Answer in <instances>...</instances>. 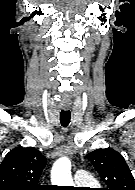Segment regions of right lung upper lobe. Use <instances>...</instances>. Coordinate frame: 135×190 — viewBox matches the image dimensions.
Here are the masks:
<instances>
[{
	"mask_svg": "<svg viewBox=\"0 0 135 190\" xmlns=\"http://www.w3.org/2000/svg\"><path fill=\"white\" fill-rule=\"evenodd\" d=\"M46 158L34 147H16L0 164V190H39Z\"/></svg>",
	"mask_w": 135,
	"mask_h": 190,
	"instance_id": "cb5924a9",
	"label": "right lung upper lobe"
}]
</instances>
